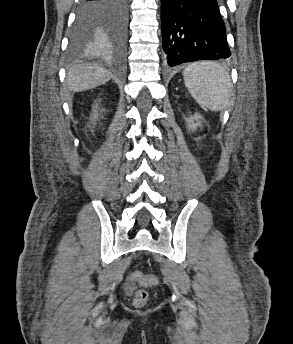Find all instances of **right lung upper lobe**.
<instances>
[{"mask_svg": "<svg viewBox=\"0 0 293 344\" xmlns=\"http://www.w3.org/2000/svg\"><path fill=\"white\" fill-rule=\"evenodd\" d=\"M103 45H104V46H109V44H108V43H103Z\"/></svg>", "mask_w": 293, "mask_h": 344, "instance_id": "right-lung-upper-lobe-1", "label": "right lung upper lobe"}]
</instances>
